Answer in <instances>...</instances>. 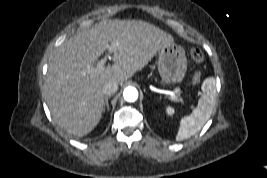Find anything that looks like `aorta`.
Segmentation results:
<instances>
[{
	"instance_id": "obj_1",
	"label": "aorta",
	"mask_w": 267,
	"mask_h": 178,
	"mask_svg": "<svg viewBox=\"0 0 267 178\" xmlns=\"http://www.w3.org/2000/svg\"><path fill=\"white\" fill-rule=\"evenodd\" d=\"M123 97L127 102H134L138 99V91L134 87H126L123 92Z\"/></svg>"
}]
</instances>
